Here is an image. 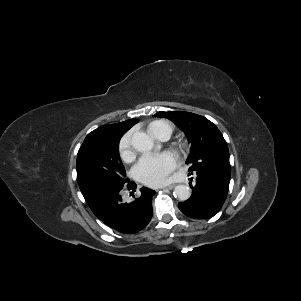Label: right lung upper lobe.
Masks as SVG:
<instances>
[{"label": "right lung upper lobe", "instance_id": "1", "mask_svg": "<svg viewBox=\"0 0 301 301\" xmlns=\"http://www.w3.org/2000/svg\"><path fill=\"white\" fill-rule=\"evenodd\" d=\"M137 122L138 119H130L125 122H119L116 124H107L92 131L87 136L89 137L92 135H101L110 140H120L121 136Z\"/></svg>", "mask_w": 301, "mask_h": 301}]
</instances>
